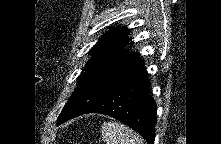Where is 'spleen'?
Returning a JSON list of instances; mask_svg holds the SVG:
<instances>
[{
  "instance_id": "3e777b00",
  "label": "spleen",
  "mask_w": 221,
  "mask_h": 144,
  "mask_svg": "<svg viewBox=\"0 0 221 144\" xmlns=\"http://www.w3.org/2000/svg\"><path fill=\"white\" fill-rule=\"evenodd\" d=\"M101 133L106 144H144L136 132L119 122L103 123Z\"/></svg>"
}]
</instances>
